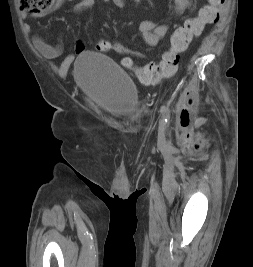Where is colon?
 Masks as SVG:
<instances>
[{
    "label": "colon",
    "instance_id": "obj_1",
    "mask_svg": "<svg viewBox=\"0 0 253 267\" xmlns=\"http://www.w3.org/2000/svg\"><path fill=\"white\" fill-rule=\"evenodd\" d=\"M224 2L225 0H208V3L199 9L197 16L187 19L181 27L176 29L171 38V49L163 55L159 65L149 64L143 68H136L130 56H141V54L117 41L100 39L96 42L95 48L100 52L113 51L124 55L121 64L125 68L135 70L143 83H156L176 73L179 55L188 48L195 37L202 34L206 25L218 21ZM53 3L54 0H19V7L23 11L38 13L49 9Z\"/></svg>",
    "mask_w": 253,
    "mask_h": 267
}]
</instances>
